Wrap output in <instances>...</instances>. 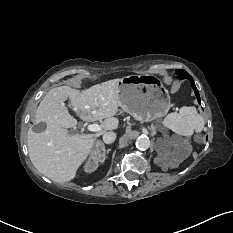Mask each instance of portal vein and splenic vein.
Returning a JSON list of instances; mask_svg holds the SVG:
<instances>
[{
  "label": "portal vein and splenic vein",
  "mask_w": 233,
  "mask_h": 233,
  "mask_svg": "<svg viewBox=\"0 0 233 233\" xmlns=\"http://www.w3.org/2000/svg\"><path fill=\"white\" fill-rule=\"evenodd\" d=\"M87 129L88 131L98 132V131H101V126L98 124H89Z\"/></svg>",
  "instance_id": "portal-vein-and-splenic-vein-1"
}]
</instances>
